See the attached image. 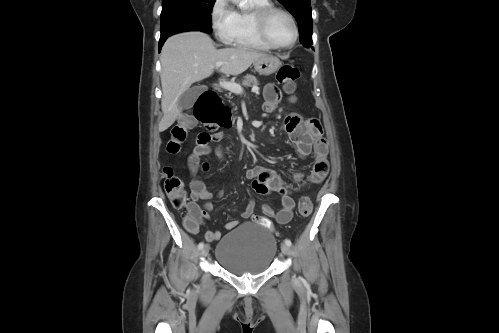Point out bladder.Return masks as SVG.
I'll list each match as a JSON object with an SVG mask.
<instances>
[{
	"label": "bladder",
	"mask_w": 499,
	"mask_h": 333,
	"mask_svg": "<svg viewBox=\"0 0 499 333\" xmlns=\"http://www.w3.org/2000/svg\"><path fill=\"white\" fill-rule=\"evenodd\" d=\"M277 251L274 235L254 223H243L219 241L215 260L235 275L261 274L269 270Z\"/></svg>",
	"instance_id": "bladder-1"
}]
</instances>
